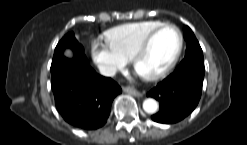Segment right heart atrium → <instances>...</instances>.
I'll return each instance as SVG.
<instances>
[{"label":"right heart atrium","mask_w":247,"mask_h":145,"mask_svg":"<svg viewBox=\"0 0 247 145\" xmlns=\"http://www.w3.org/2000/svg\"><path fill=\"white\" fill-rule=\"evenodd\" d=\"M91 57L102 72L112 75L122 68L127 59L121 55L108 41L95 40L91 44Z\"/></svg>","instance_id":"obj_1"}]
</instances>
